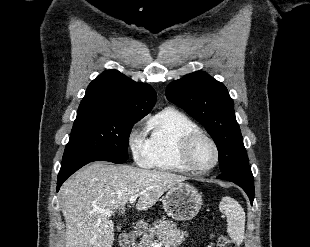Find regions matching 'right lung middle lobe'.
I'll return each instance as SVG.
<instances>
[{"mask_svg": "<svg viewBox=\"0 0 310 247\" xmlns=\"http://www.w3.org/2000/svg\"><path fill=\"white\" fill-rule=\"evenodd\" d=\"M142 117L113 113H77L62 164L79 159L124 163L131 129Z\"/></svg>", "mask_w": 310, "mask_h": 247, "instance_id": "obj_1", "label": "right lung middle lobe"}]
</instances>
